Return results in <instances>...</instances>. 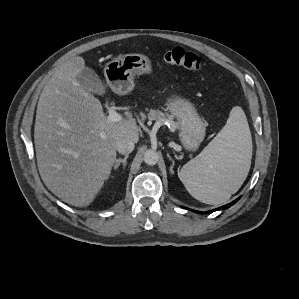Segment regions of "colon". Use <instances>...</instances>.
Instances as JSON below:
<instances>
[{
  "label": "colon",
  "mask_w": 299,
  "mask_h": 299,
  "mask_svg": "<svg viewBox=\"0 0 299 299\" xmlns=\"http://www.w3.org/2000/svg\"><path fill=\"white\" fill-rule=\"evenodd\" d=\"M163 60L171 65L180 66L189 70H199L202 65L201 58L181 47H174L163 53Z\"/></svg>",
  "instance_id": "5ec220e1"
}]
</instances>
